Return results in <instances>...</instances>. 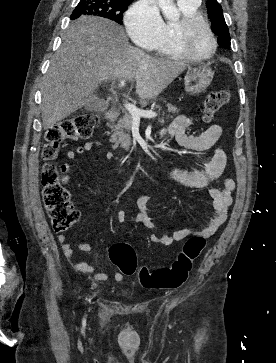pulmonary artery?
<instances>
[{
    "label": "pulmonary artery",
    "instance_id": "1",
    "mask_svg": "<svg viewBox=\"0 0 276 363\" xmlns=\"http://www.w3.org/2000/svg\"><path fill=\"white\" fill-rule=\"evenodd\" d=\"M179 3H185V4H195L198 3L200 0H177Z\"/></svg>",
    "mask_w": 276,
    "mask_h": 363
}]
</instances>
